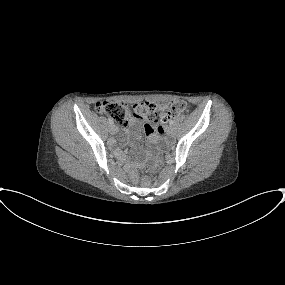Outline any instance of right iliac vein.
I'll return each instance as SVG.
<instances>
[{"label":"right iliac vein","mask_w":285,"mask_h":285,"mask_svg":"<svg viewBox=\"0 0 285 285\" xmlns=\"http://www.w3.org/2000/svg\"><path fill=\"white\" fill-rule=\"evenodd\" d=\"M117 131H118L117 126L114 125V124H110V126H109V132L113 135V134H116Z\"/></svg>","instance_id":"right-iliac-vein-1"}]
</instances>
